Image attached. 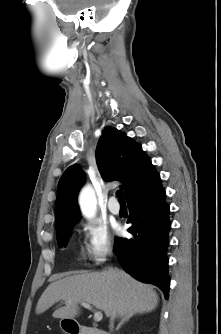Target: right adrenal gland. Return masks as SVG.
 <instances>
[{
  "mask_svg": "<svg viewBox=\"0 0 221 334\" xmlns=\"http://www.w3.org/2000/svg\"><path fill=\"white\" fill-rule=\"evenodd\" d=\"M131 317H132V315H128V316L124 317V318L121 320V322L118 324V326H117V330L121 327V325L124 324V322L128 321Z\"/></svg>",
  "mask_w": 221,
  "mask_h": 334,
  "instance_id": "2a0ac1e0",
  "label": "right adrenal gland"
}]
</instances>
